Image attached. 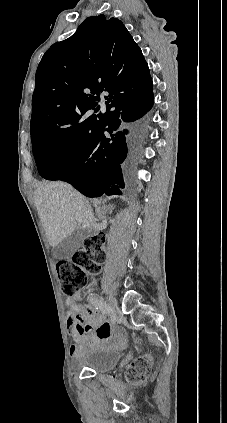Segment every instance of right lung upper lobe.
I'll return each mask as SVG.
<instances>
[{
  "instance_id": "right-lung-upper-lobe-1",
  "label": "right lung upper lobe",
  "mask_w": 227,
  "mask_h": 423,
  "mask_svg": "<svg viewBox=\"0 0 227 423\" xmlns=\"http://www.w3.org/2000/svg\"><path fill=\"white\" fill-rule=\"evenodd\" d=\"M35 80L32 143L55 135L94 136L106 113L87 116L99 110L100 92H108V110L129 95L152 90L141 49L121 21L104 15L87 18L71 37L53 44L42 57Z\"/></svg>"
}]
</instances>
